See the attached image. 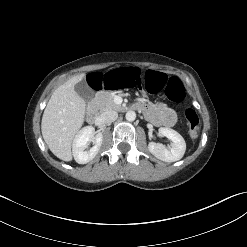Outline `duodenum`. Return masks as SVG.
Returning <instances> with one entry per match:
<instances>
[{"instance_id": "duodenum-1", "label": "duodenum", "mask_w": 247, "mask_h": 247, "mask_svg": "<svg viewBox=\"0 0 247 247\" xmlns=\"http://www.w3.org/2000/svg\"><path fill=\"white\" fill-rule=\"evenodd\" d=\"M136 107L139 108L138 105H136ZM97 116H98V111H97L96 106L93 104H90L86 110V119L89 122H92L97 118Z\"/></svg>"}]
</instances>
